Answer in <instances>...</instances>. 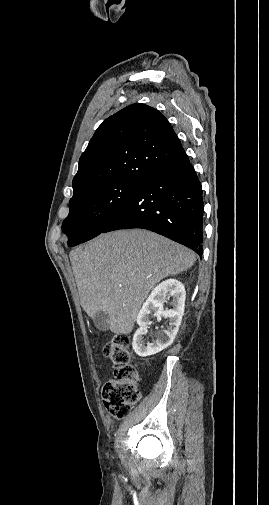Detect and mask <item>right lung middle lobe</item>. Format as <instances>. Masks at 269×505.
Instances as JSON below:
<instances>
[{
  "instance_id": "1",
  "label": "right lung middle lobe",
  "mask_w": 269,
  "mask_h": 505,
  "mask_svg": "<svg viewBox=\"0 0 269 505\" xmlns=\"http://www.w3.org/2000/svg\"><path fill=\"white\" fill-rule=\"evenodd\" d=\"M140 185L109 182L74 195L69 202V215L62 224V230L68 236V245L75 246L101 234Z\"/></svg>"
}]
</instances>
